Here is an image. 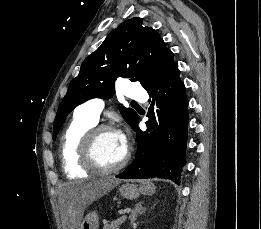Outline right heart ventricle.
I'll use <instances>...</instances> for the list:
<instances>
[{
	"mask_svg": "<svg viewBox=\"0 0 261 229\" xmlns=\"http://www.w3.org/2000/svg\"><path fill=\"white\" fill-rule=\"evenodd\" d=\"M95 123L83 116L80 106L63 132L59 143V154L64 171L68 174H87L89 169L81 159V145L84 136L95 127Z\"/></svg>",
	"mask_w": 261,
	"mask_h": 229,
	"instance_id": "right-heart-ventricle-1",
	"label": "right heart ventricle"
}]
</instances>
